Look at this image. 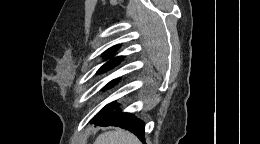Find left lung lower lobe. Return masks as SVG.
Wrapping results in <instances>:
<instances>
[{"label": "left lung lower lobe", "instance_id": "left-lung-lower-lobe-1", "mask_svg": "<svg viewBox=\"0 0 260 144\" xmlns=\"http://www.w3.org/2000/svg\"><path fill=\"white\" fill-rule=\"evenodd\" d=\"M114 108H117L116 102H112L102 109L91 120V123L98 126H118L125 128L134 133L144 143V122L130 113L122 111L112 112L111 110Z\"/></svg>", "mask_w": 260, "mask_h": 144}]
</instances>
